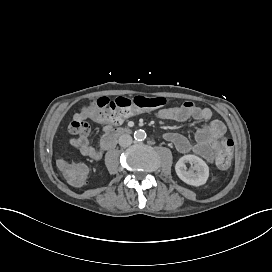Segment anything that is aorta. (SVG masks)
<instances>
[{"label":"aorta","mask_w":272,"mask_h":272,"mask_svg":"<svg viewBox=\"0 0 272 272\" xmlns=\"http://www.w3.org/2000/svg\"><path fill=\"white\" fill-rule=\"evenodd\" d=\"M147 134L144 130L138 129L134 132V139L137 141H142L146 138Z\"/></svg>","instance_id":"762f6f07"}]
</instances>
